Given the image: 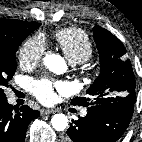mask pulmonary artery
Listing matches in <instances>:
<instances>
[{"mask_svg":"<svg viewBox=\"0 0 142 142\" xmlns=\"http://www.w3.org/2000/svg\"><path fill=\"white\" fill-rule=\"evenodd\" d=\"M86 114H87V112H86L85 110L81 112V116H82V117H85Z\"/></svg>","mask_w":142,"mask_h":142,"instance_id":"1","label":"pulmonary artery"}]
</instances>
